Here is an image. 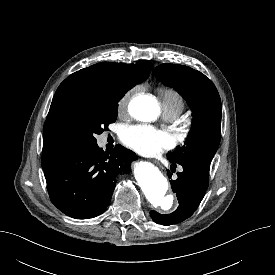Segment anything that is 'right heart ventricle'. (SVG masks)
<instances>
[{
    "instance_id": "1",
    "label": "right heart ventricle",
    "mask_w": 275,
    "mask_h": 275,
    "mask_svg": "<svg viewBox=\"0 0 275 275\" xmlns=\"http://www.w3.org/2000/svg\"><path fill=\"white\" fill-rule=\"evenodd\" d=\"M159 96L162 101L163 108L175 109L180 113L184 109V99L176 89L170 87L161 88L159 90Z\"/></svg>"
}]
</instances>
